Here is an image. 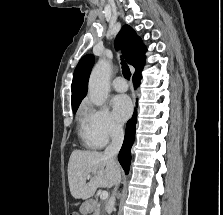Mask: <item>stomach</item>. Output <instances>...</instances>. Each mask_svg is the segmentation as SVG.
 <instances>
[{
    "mask_svg": "<svg viewBox=\"0 0 223 215\" xmlns=\"http://www.w3.org/2000/svg\"><path fill=\"white\" fill-rule=\"evenodd\" d=\"M92 205H93L92 201L91 202L84 201V203H82V205L80 207L81 213H84V215H86V213H91L92 209L90 207Z\"/></svg>",
    "mask_w": 223,
    "mask_h": 215,
    "instance_id": "stomach-1",
    "label": "stomach"
}]
</instances>
